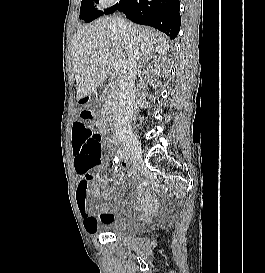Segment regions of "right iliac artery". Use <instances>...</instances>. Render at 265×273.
Listing matches in <instances>:
<instances>
[{
	"mask_svg": "<svg viewBox=\"0 0 265 273\" xmlns=\"http://www.w3.org/2000/svg\"><path fill=\"white\" fill-rule=\"evenodd\" d=\"M118 154L120 155L121 158H124V159H127V160L130 158V152H129V150L127 148L119 150Z\"/></svg>",
	"mask_w": 265,
	"mask_h": 273,
	"instance_id": "right-iliac-artery-1",
	"label": "right iliac artery"
}]
</instances>
